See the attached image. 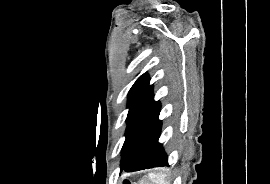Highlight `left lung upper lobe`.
I'll return each instance as SVG.
<instances>
[{
    "label": "left lung upper lobe",
    "mask_w": 270,
    "mask_h": 184,
    "mask_svg": "<svg viewBox=\"0 0 270 184\" xmlns=\"http://www.w3.org/2000/svg\"><path fill=\"white\" fill-rule=\"evenodd\" d=\"M160 102L153 99V86L149 85L147 73L141 75L129 91L126 139L122 147V160L160 110Z\"/></svg>",
    "instance_id": "left-lung-upper-lobe-1"
}]
</instances>
